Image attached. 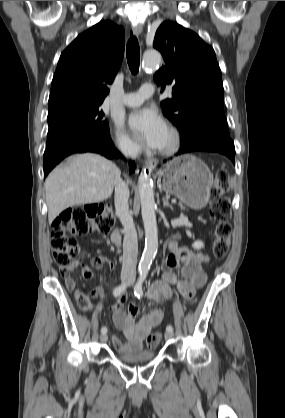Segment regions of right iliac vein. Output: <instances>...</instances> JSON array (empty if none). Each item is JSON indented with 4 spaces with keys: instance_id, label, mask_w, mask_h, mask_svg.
I'll use <instances>...</instances> for the list:
<instances>
[{
    "instance_id": "right-iliac-vein-1",
    "label": "right iliac vein",
    "mask_w": 285,
    "mask_h": 418,
    "mask_svg": "<svg viewBox=\"0 0 285 418\" xmlns=\"http://www.w3.org/2000/svg\"><path fill=\"white\" fill-rule=\"evenodd\" d=\"M128 279H129V276L128 275L122 277V280L123 281H126ZM107 339H108V335L106 333H102L101 336H100L101 342H106Z\"/></svg>"
}]
</instances>
